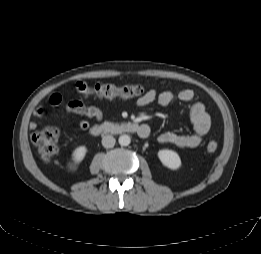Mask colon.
<instances>
[{"label": "colon", "instance_id": "obj_1", "mask_svg": "<svg viewBox=\"0 0 261 254\" xmlns=\"http://www.w3.org/2000/svg\"><path fill=\"white\" fill-rule=\"evenodd\" d=\"M76 91L84 97L95 96L102 98H115L120 97L123 99H132L139 97L143 94L144 89L140 85H123L117 86L110 83H97L90 85L85 82L76 84ZM60 103V98L54 96L52 104ZM60 134L54 127H46L36 130L32 134V141L37 148L40 157L49 162L55 156L58 149ZM218 145L216 142L211 141L207 144L206 149L209 153L216 152Z\"/></svg>", "mask_w": 261, "mask_h": 254}]
</instances>
